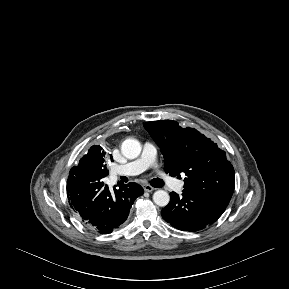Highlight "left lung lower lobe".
I'll return each mask as SVG.
<instances>
[{"instance_id":"1","label":"left lung lower lobe","mask_w":289,"mask_h":289,"mask_svg":"<svg viewBox=\"0 0 289 289\" xmlns=\"http://www.w3.org/2000/svg\"><path fill=\"white\" fill-rule=\"evenodd\" d=\"M169 204L161 211L163 219L173 227L195 232L215 222L225 211L226 205L192 190H183L182 196L170 193Z\"/></svg>"}]
</instances>
